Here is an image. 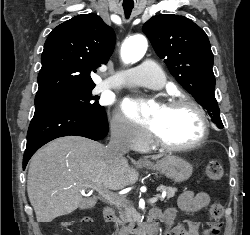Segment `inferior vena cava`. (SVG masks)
<instances>
[{
    "instance_id": "inferior-vena-cava-1",
    "label": "inferior vena cava",
    "mask_w": 250,
    "mask_h": 235,
    "mask_svg": "<svg viewBox=\"0 0 250 235\" xmlns=\"http://www.w3.org/2000/svg\"><path fill=\"white\" fill-rule=\"evenodd\" d=\"M129 152L128 132L122 123H116L111 128V138L108 146L105 148V157L108 161L113 162L123 159L124 155ZM127 227H122L118 235H128Z\"/></svg>"
}]
</instances>
